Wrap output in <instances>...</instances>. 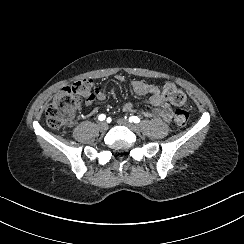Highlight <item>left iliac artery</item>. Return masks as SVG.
Instances as JSON below:
<instances>
[{
  "label": "left iliac artery",
  "instance_id": "1",
  "mask_svg": "<svg viewBox=\"0 0 244 244\" xmlns=\"http://www.w3.org/2000/svg\"><path fill=\"white\" fill-rule=\"evenodd\" d=\"M130 122L139 123L140 119L137 116H132L129 118Z\"/></svg>",
  "mask_w": 244,
  "mask_h": 244
}]
</instances>
